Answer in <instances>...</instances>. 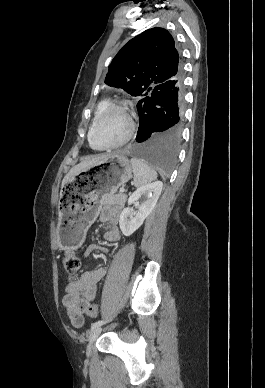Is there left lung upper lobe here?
<instances>
[{
	"mask_svg": "<svg viewBox=\"0 0 265 388\" xmlns=\"http://www.w3.org/2000/svg\"><path fill=\"white\" fill-rule=\"evenodd\" d=\"M182 75L173 37L166 29L156 27L134 37L120 49L109 65L105 83L140 96L141 102L154 95L160 84Z\"/></svg>",
	"mask_w": 265,
	"mask_h": 388,
	"instance_id": "1",
	"label": "left lung upper lobe"
}]
</instances>
